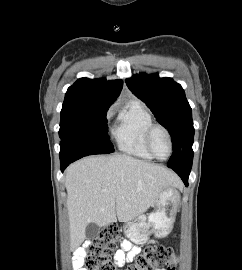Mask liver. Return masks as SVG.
Masks as SVG:
<instances>
[{"instance_id":"obj_1","label":"liver","mask_w":242,"mask_h":270,"mask_svg":"<svg viewBox=\"0 0 242 270\" xmlns=\"http://www.w3.org/2000/svg\"><path fill=\"white\" fill-rule=\"evenodd\" d=\"M65 187L71 246L86 238V227L128 222L153 207L167 187H181L167 168L128 155L89 156L70 165Z\"/></svg>"}]
</instances>
